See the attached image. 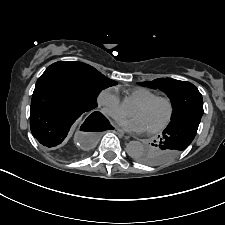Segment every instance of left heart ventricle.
<instances>
[{"mask_svg": "<svg viewBox=\"0 0 225 225\" xmlns=\"http://www.w3.org/2000/svg\"><path fill=\"white\" fill-rule=\"evenodd\" d=\"M131 115L142 119L147 129H151L162 124L168 115V106L163 101H157L148 107L134 105Z\"/></svg>", "mask_w": 225, "mask_h": 225, "instance_id": "1", "label": "left heart ventricle"}]
</instances>
